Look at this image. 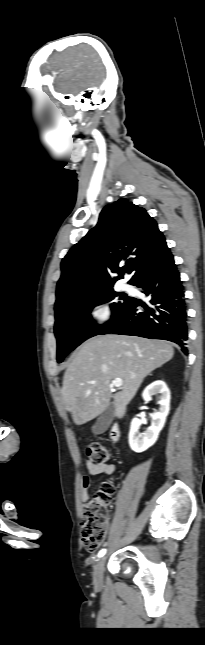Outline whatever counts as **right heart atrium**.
<instances>
[{"mask_svg": "<svg viewBox=\"0 0 205 645\" xmlns=\"http://www.w3.org/2000/svg\"><path fill=\"white\" fill-rule=\"evenodd\" d=\"M87 315L96 327H103L111 321L113 310L106 300L95 299L89 304Z\"/></svg>", "mask_w": 205, "mask_h": 645, "instance_id": "1", "label": "right heart atrium"}]
</instances>
